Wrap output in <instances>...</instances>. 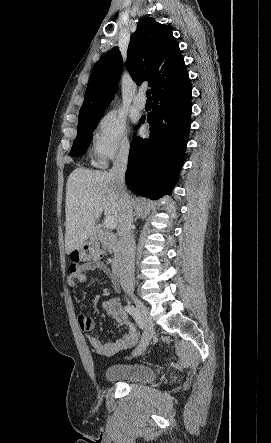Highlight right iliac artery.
<instances>
[{
    "mask_svg": "<svg viewBox=\"0 0 271 443\" xmlns=\"http://www.w3.org/2000/svg\"><path fill=\"white\" fill-rule=\"evenodd\" d=\"M125 311H127L135 320L139 328L144 329V321L140 315V312L137 308L132 305L125 306Z\"/></svg>",
    "mask_w": 271,
    "mask_h": 443,
    "instance_id": "obj_1",
    "label": "right iliac artery"
}]
</instances>
